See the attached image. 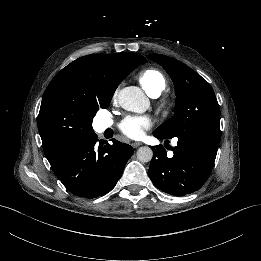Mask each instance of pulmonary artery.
I'll return each instance as SVG.
<instances>
[{"mask_svg": "<svg viewBox=\"0 0 261 261\" xmlns=\"http://www.w3.org/2000/svg\"><path fill=\"white\" fill-rule=\"evenodd\" d=\"M151 97H152V98H157L158 95H157V94H154V95H151ZM109 124H110V123H109ZM176 143H177V139H175V140L173 141V144H174V145H176Z\"/></svg>", "mask_w": 261, "mask_h": 261, "instance_id": "pulmonary-artery-1", "label": "pulmonary artery"}]
</instances>
